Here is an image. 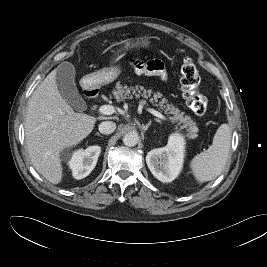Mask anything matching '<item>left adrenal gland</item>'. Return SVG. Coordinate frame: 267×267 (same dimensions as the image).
<instances>
[{
  "label": "left adrenal gland",
  "instance_id": "1",
  "mask_svg": "<svg viewBox=\"0 0 267 267\" xmlns=\"http://www.w3.org/2000/svg\"><path fill=\"white\" fill-rule=\"evenodd\" d=\"M150 125H151V121H149L148 124H146V125H142V130L144 132L147 131Z\"/></svg>",
  "mask_w": 267,
  "mask_h": 267
}]
</instances>
